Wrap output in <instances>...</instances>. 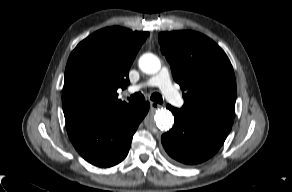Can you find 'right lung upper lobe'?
<instances>
[{"mask_svg": "<svg viewBox=\"0 0 292 192\" xmlns=\"http://www.w3.org/2000/svg\"><path fill=\"white\" fill-rule=\"evenodd\" d=\"M148 35L107 27L76 46L65 69L62 94L65 119L107 115L130 105L118 99L117 89L129 84L130 66Z\"/></svg>", "mask_w": 292, "mask_h": 192, "instance_id": "cb5924a9", "label": "right lung upper lobe"}]
</instances>
